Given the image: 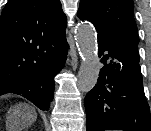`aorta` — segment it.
<instances>
[{"mask_svg":"<svg viewBox=\"0 0 151 131\" xmlns=\"http://www.w3.org/2000/svg\"><path fill=\"white\" fill-rule=\"evenodd\" d=\"M76 44L81 56L77 86L82 92H89L97 83L100 63L97 55V34L94 27L82 22L76 29Z\"/></svg>","mask_w":151,"mask_h":131,"instance_id":"762f6f07","label":"aorta"}]
</instances>
